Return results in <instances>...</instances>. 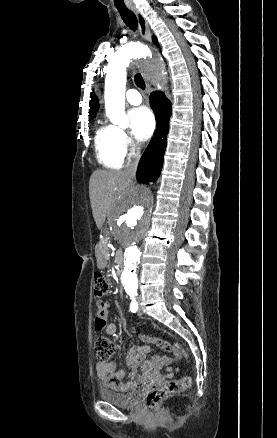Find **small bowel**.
<instances>
[{
	"mask_svg": "<svg viewBox=\"0 0 277 438\" xmlns=\"http://www.w3.org/2000/svg\"><path fill=\"white\" fill-rule=\"evenodd\" d=\"M105 330L109 335H115L118 328L114 322H110L106 325ZM133 331H136V328H133ZM138 338L144 340L146 335L140 333ZM148 351L149 348L146 346H137L128 352L126 363L131 369L128 379H125V371L118 367L116 362H98L96 364V374L100 383L105 387L125 392L139 381L143 375H147L153 369L164 368L166 377H172L176 371L173 366V360L167 356H157L152 360L145 361L144 358ZM138 366L142 374L138 373Z\"/></svg>",
	"mask_w": 277,
	"mask_h": 438,
	"instance_id": "c3829d8e",
	"label": "small bowel"
}]
</instances>
